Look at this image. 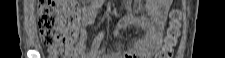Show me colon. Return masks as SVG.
Returning <instances> with one entry per match:
<instances>
[{"instance_id":"obj_1","label":"colon","mask_w":225,"mask_h":58,"mask_svg":"<svg viewBox=\"0 0 225 58\" xmlns=\"http://www.w3.org/2000/svg\"><path fill=\"white\" fill-rule=\"evenodd\" d=\"M81 9L78 1L48 0L39 5L38 25L42 42L48 47L52 58H75V42L79 35ZM179 12L172 13L171 26L168 31L162 54L170 57L180 36Z\"/></svg>"}]
</instances>
